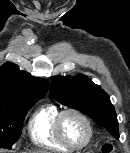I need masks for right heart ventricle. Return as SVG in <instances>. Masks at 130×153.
<instances>
[{"label": "right heart ventricle", "instance_id": "obj_1", "mask_svg": "<svg viewBox=\"0 0 130 153\" xmlns=\"http://www.w3.org/2000/svg\"><path fill=\"white\" fill-rule=\"evenodd\" d=\"M59 112V107L52 103H45L33 112L27 124V133L34 145L48 150L70 151L55 132L54 123Z\"/></svg>", "mask_w": 130, "mask_h": 153}]
</instances>
